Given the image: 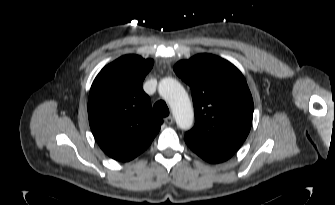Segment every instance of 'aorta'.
Instances as JSON below:
<instances>
[{"label":"aorta","mask_w":335,"mask_h":205,"mask_svg":"<svg viewBox=\"0 0 335 205\" xmlns=\"http://www.w3.org/2000/svg\"><path fill=\"white\" fill-rule=\"evenodd\" d=\"M158 92L169 103L178 127L183 130L190 129L194 121V111L183 86L173 78H164L159 82Z\"/></svg>","instance_id":"762f6f07"}]
</instances>
